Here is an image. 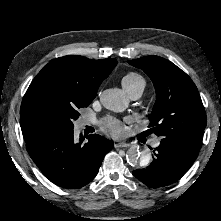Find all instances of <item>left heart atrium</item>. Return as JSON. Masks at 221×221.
Returning <instances> with one entry per match:
<instances>
[{"mask_svg":"<svg viewBox=\"0 0 221 221\" xmlns=\"http://www.w3.org/2000/svg\"><path fill=\"white\" fill-rule=\"evenodd\" d=\"M104 129L105 131L116 137L121 136L124 133L123 125L119 121L113 119L108 120L104 124Z\"/></svg>","mask_w":221,"mask_h":221,"instance_id":"39dd6f15","label":"left heart atrium"}]
</instances>
